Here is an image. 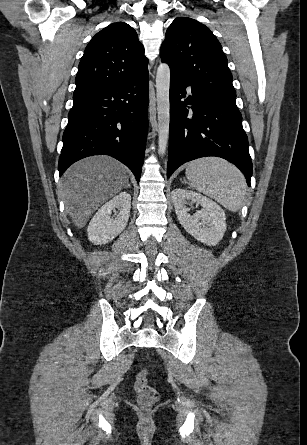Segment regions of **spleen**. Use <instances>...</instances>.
<instances>
[{"label":"spleen","mask_w":307,"mask_h":445,"mask_svg":"<svg viewBox=\"0 0 307 445\" xmlns=\"http://www.w3.org/2000/svg\"><path fill=\"white\" fill-rule=\"evenodd\" d=\"M186 176L199 192L211 196L222 206L236 212L244 200L245 178L231 162L218 156L196 158L186 164Z\"/></svg>","instance_id":"1"}]
</instances>
